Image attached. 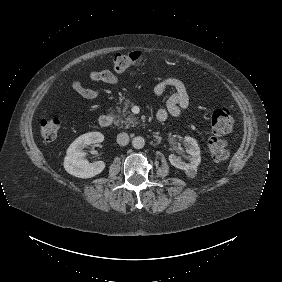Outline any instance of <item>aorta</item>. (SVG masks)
<instances>
[{
    "instance_id": "aorta-1",
    "label": "aorta",
    "mask_w": 282,
    "mask_h": 282,
    "mask_svg": "<svg viewBox=\"0 0 282 282\" xmlns=\"http://www.w3.org/2000/svg\"><path fill=\"white\" fill-rule=\"evenodd\" d=\"M145 145V139L142 136H136L132 140V146L135 149H142Z\"/></svg>"
}]
</instances>
